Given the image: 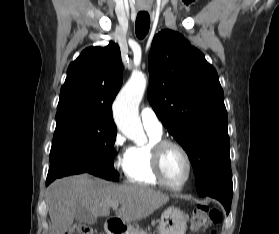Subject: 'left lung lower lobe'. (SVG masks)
<instances>
[{
  "mask_svg": "<svg viewBox=\"0 0 279 234\" xmlns=\"http://www.w3.org/2000/svg\"><path fill=\"white\" fill-rule=\"evenodd\" d=\"M207 195L220 200L225 206L231 207V200L233 195V188L227 190L222 188H215L207 192Z\"/></svg>",
  "mask_w": 279,
  "mask_h": 234,
  "instance_id": "obj_1",
  "label": "left lung lower lobe"
}]
</instances>
